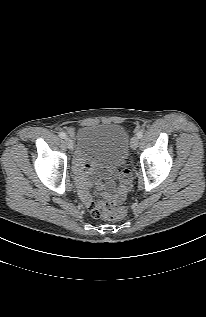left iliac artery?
Masks as SVG:
<instances>
[{"mask_svg":"<svg viewBox=\"0 0 206 317\" xmlns=\"http://www.w3.org/2000/svg\"><path fill=\"white\" fill-rule=\"evenodd\" d=\"M136 135H137V137H138L139 139L142 138V136H143V131H142V130L138 131Z\"/></svg>","mask_w":206,"mask_h":317,"instance_id":"44dca946","label":"left iliac artery"}]
</instances>
